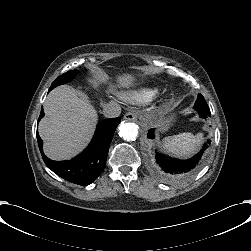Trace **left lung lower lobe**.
Wrapping results in <instances>:
<instances>
[{
	"label": "left lung lower lobe",
	"mask_w": 251,
	"mask_h": 251,
	"mask_svg": "<svg viewBox=\"0 0 251 251\" xmlns=\"http://www.w3.org/2000/svg\"><path fill=\"white\" fill-rule=\"evenodd\" d=\"M195 109L199 112V115L202 118H207L210 116V110H202L198 108ZM148 138L154 139V129L149 130ZM210 143L211 140L208 139L207 143L204 144L202 150L188 160H178L165 156L161 153H156V161L155 164H152V169L157 176L167 182H173L186 178L200 164L201 157L203 156L204 151L208 148V145H210Z\"/></svg>",
	"instance_id": "left-lung-lower-lobe-1"
}]
</instances>
